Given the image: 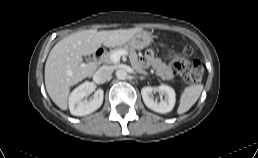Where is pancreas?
Wrapping results in <instances>:
<instances>
[{
    "label": "pancreas",
    "mask_w": 258,
    "mask_h": 158,
    "mask_svg": "<svg viewBox=\"0 0 258 158\" xmlns=\"http://www.w3.org/2000/svg\"><path fill=\"white\" fill-rule=\"evenodd\" d=\"M120 50H124L127 52L129 59H130V63L132 65V67L140 74H147V72L142 68L141 63L138 60V55L136 53V51L134 50V48L128 47V46H121V47H117L114 48L113 50H111L110 52H108L105 56H104V61L108 64L113 63L111 61V55L114 52H118Z\"/></svg>",
    "instance_id": "1"
}]
</instances>
